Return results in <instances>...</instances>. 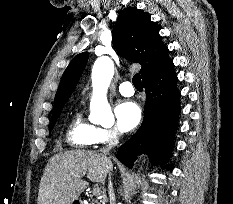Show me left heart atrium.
<instances>
[{"label":"left heart atrium","instance_id":"1","mask_svg":"<svg viewBox=\"0 0 233 204\" xmlns=\"http://www.w3.org/2000/svg\"><path fill=\"white\" fill-rule=\"evenodd\" d=\"M117 127L122 132L133 130L141 121L142 111L133 101L120 102L115 108Z\"/></svg>","mask_w":233,"mask_h":204}]
</instances>
